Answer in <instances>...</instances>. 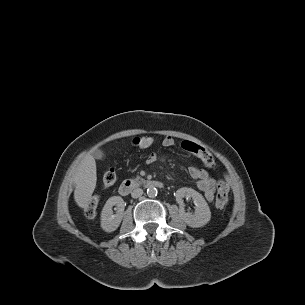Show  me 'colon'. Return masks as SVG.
I'll list each match as a JSON object with an SVG mask.
<instances>
[{
    "instance_id": "colon-1",
    "label": "colon",
    "mask_w": 305,
    "mask_h": 305,
    "mask_svg": "<svg viewBox=\"0 0 305 305\" xmlns=\"http://www.w3.org/2000/svg\"><path fill=\"white\" fill-rule=\"evenodd\" d=\"M154 142L153 137L151 136H142V137H136L133 139L132 144L134 147L138 149H146L150 147ZM117 180L116 172L113 169L108 170L103 175V185L105 187H111L115 184ZM228 192H229V186L226 181L221 180L218 183L217 186V194L215 199V206L217 209L222 210L225 208L228 202ZM98 206H99V197L93 196L89 203L87 204L85 208V214L88 218H95L98 212Z\"/></svg>"
}]
</instances>
